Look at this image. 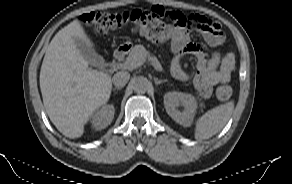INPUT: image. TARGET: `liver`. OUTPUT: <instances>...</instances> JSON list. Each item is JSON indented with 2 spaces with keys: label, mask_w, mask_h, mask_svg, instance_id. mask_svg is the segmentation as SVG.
I'll list each match as a JSON object with an SVG mask.
<instances>
[{
  "label": "liver",
  "mask_w": 292,
  "mask_h": 184,
  "mask_svg": "<svg viewBox=\"0 0 292 184\" xmlns=\"http://www.w3.org/2000/svg\"><path fill=\"white\" fill-rule=\"evenodd\" d=\"M75 38L93 43L79 20L61 29L50 42L40 70V89L46 112L63 135L81 137L94 111L105 104L112 90L111 76L90 69Z\"/></svg>",
  "instance_id": "obj_1"
}]
</instances>
